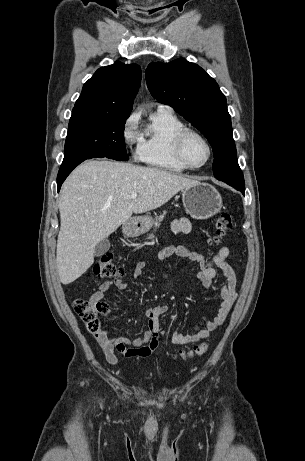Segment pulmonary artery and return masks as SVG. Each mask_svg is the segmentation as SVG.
<instances>
[{
	"mask_svg": "<svg viewBox=\"0 0 305 461\" xmlns=\"http://www.w3.org/2000/svg\"><path fill=\"white\" fill-rule=\"evenodd\" d=\"M158 110H170L169 107L165 105H159Z\"/></svg>",
	"mask_w": 305,
	"mask_h": 461,
	"instance_id": "1",
	"label": "pulmonary artery"
}]
</instances>
